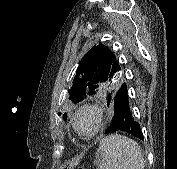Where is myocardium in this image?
<instances>
[{"mask_svg":"<svg viewBox=\"0 0 177 169\" xmlns=\"http://www.w3.org/2000/svg\"><path fill=\"white\" fill-rule=\"evenodd\" d=\"M83 114H90L93 118L94 126L90 132H83L78 125V120ZM102 121H103L102 110L96 105L86 103L76 110L72 119V125L79 136L88 139L93 137L100 130L102 126Z\"/></svg>","mask_w":177,"mask_h":169,"instance_id":"1","label":"myocardium"}]
</instances>
